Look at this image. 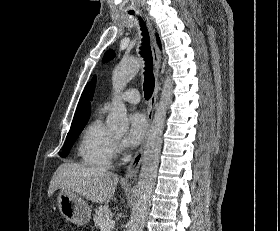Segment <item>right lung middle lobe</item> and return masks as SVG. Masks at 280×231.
<instances>
[{
    "label": "right lung middle lobe",
    "instance_id": "right-lung-middle-lobe-1",
    "mask_svg": "<svg viewBox=\"0 0 280 231\" xmlns=\"http://www.w3.org/2000/svg\"><path fill=\"white\" fill-rule=\"evenodd\" d=\"M85 125L86 124L70 129V131L67 134V138H66V141H65V144H64V147H63V151L60 154L61 157L64 158L69 154L70 149L72 148L74 142L76 141V139L80 135V133L83 130V128L85 127Z\"/></svg>",
    "mask_w": 280,
    "mask_h": 231
}]
</instances>
